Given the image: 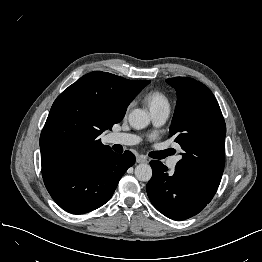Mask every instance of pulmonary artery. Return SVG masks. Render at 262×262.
I'll use <instances>...</instances> for the list:
<instances>
[{
    "label": "pulmonary artery",
    "mask_w": 262,
    "mask_h": 262,
    "mask_svg": "<svg viewBox=\"0 0 262 262\" xmlns=\"http://www.w3.org/2000/svg\"><path fill=\"white\" fill-rule=\"evenodd\" d=\"M151 119L156 127L163 125L170 114L169 106L156 107L150 110ZM110 142L113 144H121L125 146H131L139 143L140 137L132 133H113L109 136ZM177 158H173L168 161L167 166L171 169L175 167Z\"/></svg>",
    "instance_id": "obj_1"
}]
</instances>
